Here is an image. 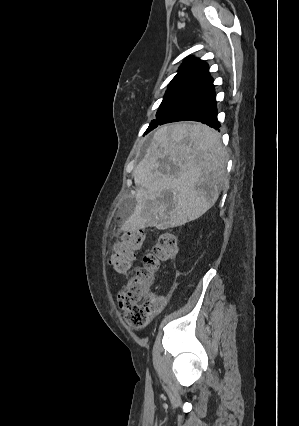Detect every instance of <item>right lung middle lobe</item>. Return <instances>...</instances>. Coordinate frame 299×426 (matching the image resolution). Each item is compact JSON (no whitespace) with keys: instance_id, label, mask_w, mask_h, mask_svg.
<instances>
[{"instance_id":"right-lung-middle-lobe-1","label":"right lung middle lobe","mask_w":299,"mask_h":426,"mask_svg":"<svg viewBox=\"0 0 299 426\" xmlns=\"http://www.w3.org/2000/svg\"><path fill=\"white\" fill-rule=\"evenodd\" d=\"M196 89L194 86L190 85H168V89L165 93L163 101L159 107V110L156 114V119L153 120L145 133H148L153 129V127L160 121L163 115L180 99L189 94L191 91Z\"/></svg>"}]
</instances>
